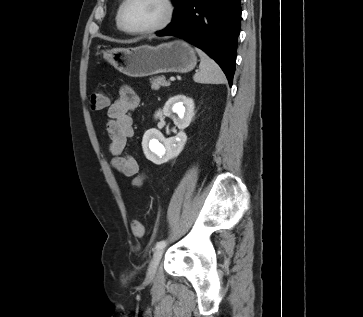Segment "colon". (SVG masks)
<instances>
[{
	"label": "colon",
	"instance_id": "obj_1",
	"mask_svg": "<svg viewBox=\"0 0 363 317\" xmlns=\"http://www.w3.org/2000/svg\"><path fill=\"white\" fill-rule=\"evenodd\" d=\"M91 109L94 111H100L107 107L108 97L102 92H94L89 97ZM132 232L136 236H143L145 229L143 225L137 221L132 223Z\"/></svg>",
	"mask_w": 363,
	"mask_h": 317
}]
</instances>
